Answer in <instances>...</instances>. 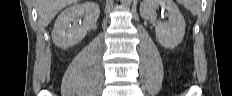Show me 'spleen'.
<instances>
[{
	"label": "spleen",
	"mask_w": 232,
	"mask_h": 96,
	"mask_svg": "<svg viewBox=\"0 0 232 96\" xmlns=\"http://www.w3.org/2000/svg\"><path fill=\"white\" fill-rule=\"evenodd\" d=\"M178 2L184 5L193 15H197L201 11L199 0H179Z\"/></svg>",
	"instance_id": "obj_1"
}]
</instances>
